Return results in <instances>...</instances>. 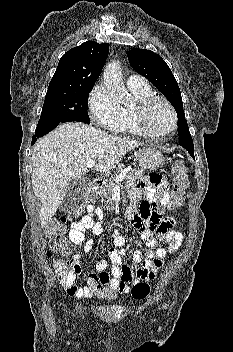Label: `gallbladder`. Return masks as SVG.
<instances>
[{
  "mask_svg": "<svg viewBox=\"0 0 233 352\" xmlns=\"http://www.w3.org/2000/svg\"><path fill=\"white\" fill-rule=\"evenodd\" d=\"M89 182L84 179H71L67 186V193L61 205V211H68L77 205L83 192L88 188Z\"/></svg>",
  "mask_w": 233,
  "mask_h": 352,
  "instance_id": "1",
  "label": "gallbladder"
}]
</instances>
